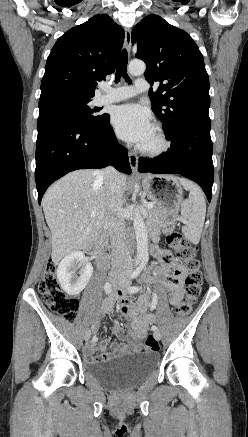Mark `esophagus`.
<instances>
[{
	"label": "esophagus",
	"mask_w": 248,
	"mask_h": 437,
	"mask_svg": "<svg viewBox=\"0 0 248 437\" xmlns=\"http://www.w3.org/2000/svg\"><path fill=\"white\" fill-rule=\"evenodd\" d=\"M124 44H125L127 51L129 52L130 47H131V30L129 28L125 29ZM128 157H129V163H130V166H131L133 173H137L138 157L133 152H129Z\"/></svg>",
	"instance_id": "1"
}]
</instances>
